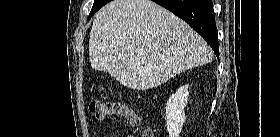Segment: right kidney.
Instances as JSON below:
<instances>
[{
    "label": "right kidney",
    "mask_w": 280,
    "mask_h": 137,
    "mask_svg": "<svg viewBox=\"0 0 280 137\" xmlns=\"http://www.w3.org/2000/svg\"><path fill=\"white\" fill-rule=\"evenodd\" d=\"M188 87L186 84L181 86L178 91L170 96L166 104V126L169 137H179L185 121V107L188 101Z\"/></svg>",
    "instance_id": "obj_1"
}]
</instances>
